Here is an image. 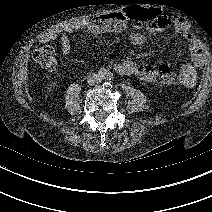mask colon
Listing matches in <instances>:
<instances>
[{"label": "colon", "mask_w": 212, "mask_h": 212, "mask_svg": "<svg viewBox=\"0 0 212 212\" xmlns=\"http://www.w3.org/2000/svg\"><path fill=\"white\" fill-rule=\"evenodd\" d=\"M34 60L45 69L53 71L57 67V57L51 48L43 47L34 51ZM156 80L160 85H171L176 81V72L168 64H161L157 68Z\"/></svg>", "instance_id": "1"}]
</instances>
